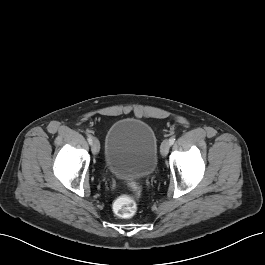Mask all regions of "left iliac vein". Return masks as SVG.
Instances as JSON below:
<instances>
[{
  "instance_id": "obj_1",
  "label": "left iliac vein",
  "mask_w": 265,
  "mask_h": 265,
  "mask_svg": "<svg viewBox=\"0 0 265 265\" xmlns=\"http://www.w3.org/2000/svg\"><path fill=\"white\" fill-rule=\"evenodd\" d=\"M170 149V143L169 140H164L161 144L160 152L162 156H167Z\"/></svg>"
}]
</instances>
